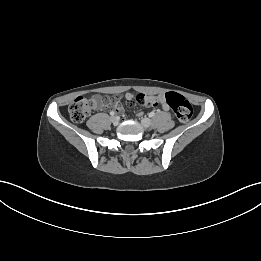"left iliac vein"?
Segmentation results:
<instances>
[{"label": "left iliac vein", "instance_id": "obj_1", "mask_svg": "<svg viewBox=\"0 0 261 261\" xmlns=\"http://www.w3.org/2000/svg\"><path fill=\"white\" fill-rule=\"evenodd\" d=\"M141 124H142L145 128H149V127H151V125H152V120H151L150 118H147V117L142 118V119H141Z\"/></svg>", "mask_w": 261, "mask_h": 261}]
</instances>
